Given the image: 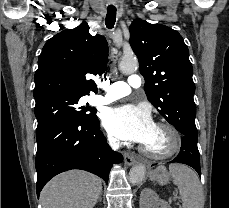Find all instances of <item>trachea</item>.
<instances>
[{
  "label": "trachea",
  "mask_w": 229,
  "mask_h": 208,
  "mask_svg": "<svg viewBox=\"0 0 229 208\" xmlns=\"http://www.w3.org/2000/svg\"><path fill=\"white\" fill-rule=\"evenodd\" d=\"M116 21V8L107 7V15L105 18V24L107 28L112 29Z\"/></svg>",
  "instance_id": "obj_1"
}]
</instances>
